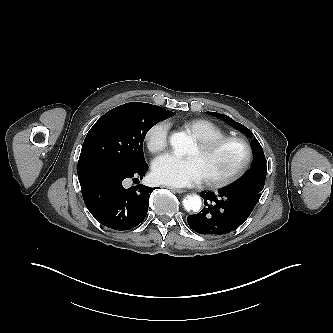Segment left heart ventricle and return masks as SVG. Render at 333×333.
Instances as JSON below:
<instances>
[{"mask_svg": "<svg viewBox=\"0 0 333 333\" xmlns=\"http://www.w3.org/2000/svg\"><path fill=\"white\" fill-rule=\"evenodd\" d=\"M189 156L197 160L203 178H220L237 167L241 160L242 152L234 144L223 146L210 153H202L196 146Z\"/></svg>", "mask_w": 333, "mask_h": 333, "instance_id": "left-heart-ventricle-1", "label": "left heart ventricle"}]
</instances>
